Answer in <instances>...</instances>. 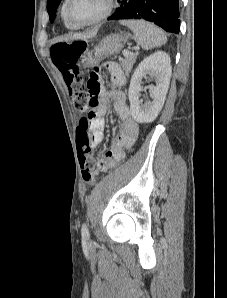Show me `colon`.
I'll return each instance as SVG.
<instances>
[{
    "label": "colon",
    "instance_id": "obj_1",
    "mask_svg": "<svg viewBox=\"0 0 227 298\" xmlns=\"http://www.w3.org/2000/svg\"><path fill=\"white\" fill-rule=\"evenodd\" d=\"M86 49L83 41H61L51 48V56L57 68L63 74L64 81L70 94L73 96V103L80 113V125L76 133V145L79 153V161L83 168V179L87 183L94 180L93 169L95 161L91 156L89 115L91 104L89 103L90 92H87V83H83L79 78L78 62ZM89 82V80L87 81Z\"/></svg>",
    "mask_w": 227,
    "mask_h": 298
}]
</instances>
